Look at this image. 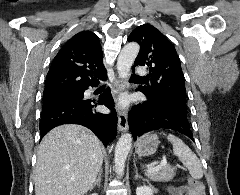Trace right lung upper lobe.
Returning a JSON list of instances; mask_svg holds the SVG:
<instances>
[{
	"instance_id": "right-lung-upper-lobe-1",
	"label": "right lung upper lobe",
	"mask_w": 240,
	"mask_h": 195,
	"mask_svg": "<svg viewBox=\"0 0 240 195\" xmlns=\"http://www.w3.org/2000/svg\"><path fill=\"white\" fill-rule=\"evenodd\" d=\"M106 79L99 38L90 31L74 35L55 56L43 95L81 91Z\"/></svg>"
}]
</instances>
